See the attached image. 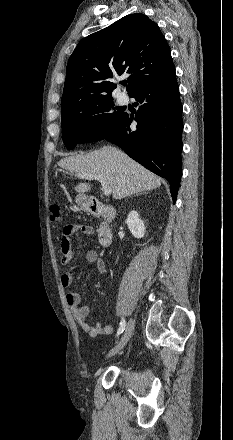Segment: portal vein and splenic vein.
Returning a JSON list of instances; mask_svg holds the SVG:
<instances>
[{
  "mask_svg": "<svg viewBox=\"0 0 233 440\" xmlns=\"http://www.w3.org/2000/svg\"><path fill=\"white\" fill-rule=\"evenodd\" d=\"M78 177L85 178L88 180H93V179L98 180L101 183V186H102L101 189H102L105 196L110 195L112 192V188L109 186L108 182L101 176L82 173V174H79Z\"/></svg>",
  "mask_w": 233,
  "mask_h": 440,
  "instance_id": "portal-vein-and-splenic-vein-1",
  "label": "portal vein and splenic vein"
}]
</instances>
